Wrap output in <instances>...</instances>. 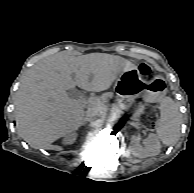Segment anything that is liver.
<instances>
[{
  "mask_svg": "<svg viewBox=\"0 0 194 193\" xmlns=\"http://www.w3.org/2000/svg\"><path fill=\"white\" fill-rule=\"evenodd\" d=\"M133 68L129 60L107 53L71 56L59 52L42 58L24 74L16 92L20 136L34 148L54 149V141L83 125L85 108H99L105 101L74 99L67 90L78 86L101 92L109 89L122 72Z\"/></svg>",
  "mask_w": 194,
  "mask_h": 193,
  "instance_id": "1",
  "label": "liver"
}]
</instances>
